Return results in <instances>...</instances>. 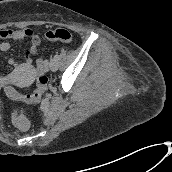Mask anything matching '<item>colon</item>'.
<instances>
[{
    "mask_svg": "<svg viewBox=\"0 0 172 172\" xmlns=\"http://www.w3.org/2000/svg\"><path fill=\"white\" fill-rule=\"evenodd\" d=\"M48 40H59L62 42H70L73 39L72 34L64 28H56L44 34ZM45 63L42 59L37 60L38 76L36 79V88L33 93L23 95L10 84H6L5 92L7 96L13 100L23 101L25 103H36L40 100L42 94L46 90L48 78L44 72ZM13 121L17 127L25 131L29 128L30 122L27 117V110L24 106L17 107L13 112Z\"/></svg>",
    "mask_w": 172,
    "mask_h": 172,
    "instance_id": "obj_1",
    "label": "colon"
}]
</instances>
